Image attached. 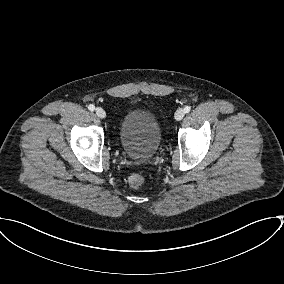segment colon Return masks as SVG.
Returning a JSON list of instances; mask_svg holds the SVG:
<instances>
[{
    "label": "colon",
    "mask_w": 284,
    "mask_h": 284,
    "mask_svg": "<svg viewBox=\"0 0 284 284\" xmlns=\"http://www.w3.org/2000/svg\"><path fill=\"white\" fill-rule=\"evenodd\" d=\"M144 181H145L144 176L138 173L132 174L129 177V183L134 188L140 187L144 183Z\"/></svg>",
    "instance_id": "colon-1"
}]
</instances>
